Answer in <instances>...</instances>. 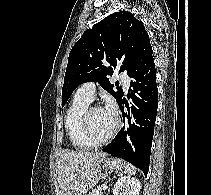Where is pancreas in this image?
Here are the masks:
<instances>
[{"mask_svg": "<svg viewBox=\"0 0 211 195\" xmlns=\"http://www.w3.org/2000/svg\"><path fill=\"white\" fill-rule=\"evenodd\" d=\"M89 195H102V186H99L97 189L90 192Z\"/></svg>", "mask_w": 211, "mask_h": 195, "instance_id": "cf45deb5", "label": "pancreas"}]
</instances>
